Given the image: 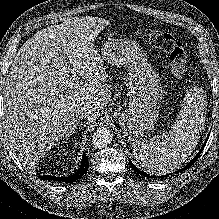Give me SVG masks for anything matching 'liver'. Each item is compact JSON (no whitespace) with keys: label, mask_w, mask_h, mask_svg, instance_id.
<instances>
[{"label":"liver","mask_w":219,"mask_h":219,"mask_svg":"<svg viewBox=\"0 0 219 219\" xmlns=\"http://www.w3.org/2000/svg\"><path fill=\"white\" fill-rule=\"evenodd\" d=\"M108 24L98 17L68 18L36 32L15 55L4 87V129L28 166L38 164L76 125V109H89L92 123L111 100L93 44ZM72 72L86 82L72 81Z\"/></svg>","instance_id":"liver-1"}]
</instances>
